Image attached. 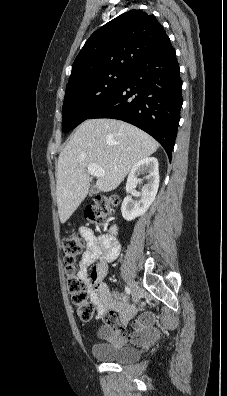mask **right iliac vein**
Masks as SVG:
<instances>
[{"label":"right iliac vein","instance_id":"right-iliac-vein-1","mask_svg":"<svg viewBox=\"0 0 227 396\" xmlns=\"http://www.w3.org/2000/svg\"><path fill=\"white\" fill-rule=\"evenodd\" d=\"M129 286L132 290L133 301L135 304H137L140 301L141 296H142L141 289L138 286V284L133 280L129 281Z\"/></svg>","mask_w":227,"mask_h":396}]
</instances>
